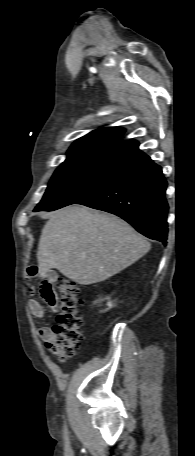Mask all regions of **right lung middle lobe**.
Masks as SVG:
<instances>
[{"label": "right lung middle lobe", "instance_id": "right-lung-middle-lobe-1", "mask_svg": "<svg viewBox=\"0 0 195 456\" xmlns=\"http://www.w3.org/2000/svg\"><path fill=\"white\" fill-rule=\"evenodd\" d=\"M123 170L91 162L62 163L36 209L52 211L75 204L105 186Z\"/></svg>", "mask_w": 195, "mask_h": 456}]
</instances>
